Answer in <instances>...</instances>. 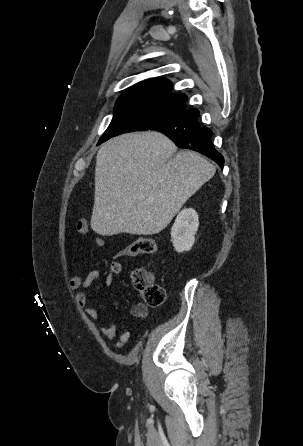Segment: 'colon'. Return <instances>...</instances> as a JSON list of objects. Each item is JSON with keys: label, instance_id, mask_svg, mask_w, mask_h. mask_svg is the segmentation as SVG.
Segmentation results:
<instances>
[{"label": "colon", "instance_id": "5ec220e1", "mask_svg": "<svg viewBox=\"0 0 303 446\" xmlns=\"http://www.w3.org/2000/svg\"><path fill=\"white\" fill-rule=\"evenodd\" d=\"M158 246L151 238H139L121 250L118 257H135L141 254H155ZM134 287L141 293L144 302L149 306L160 305L165 297L164 289L152 281L150 275L137 270L132 275Z\"/></svg>", "mask_w": 303, "mask_h": 446}]
</instances>
